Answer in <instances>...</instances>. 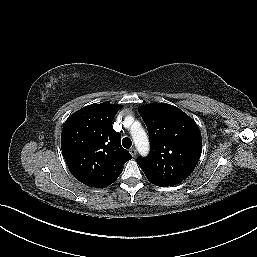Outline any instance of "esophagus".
<instances>
[{
	"label": "esophagus",
	"mask_w": 257,
	"mask_h": 257,
	"mask_svg": "<svg viewBox=\"0 0 257 257\" xmlns=\"http://www.w3.org/2000/svg\"><path fill=\"white\" fill-rule=\"evenodd\" d=\"M129 152H130V154H131L133 157L136 156V154H137V151H136V149H135L134 147L130 148V149H129Z\"/></svg>",
	"instance_id": "obj_1"
}]
</instances>
